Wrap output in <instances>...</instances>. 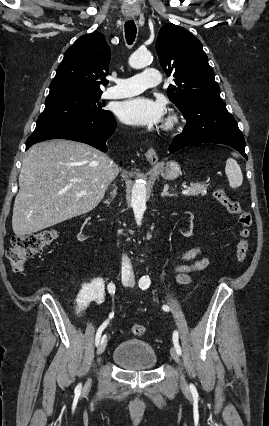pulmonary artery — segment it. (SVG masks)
<instances>
[{
    "label": "pulmonary artery",
    "mask_w": 269,
    "mask_h": 426,
    "mask_svg": "<svg viewBox=\"0 0 269 426\" xmlns=\"http://www.w3.org/2000/svg\"><path fill=\"white\" fill-rule=\"evenodd\" d=\"M114 82L115 85L106 91V97L111 99L125 98L137 95L149 87L159 85L161 74L155 68H146L139 74L128 78H118Z\"/></svg>",
    "instance_id": "pulmonary-artery-1"
}]
</instances>
